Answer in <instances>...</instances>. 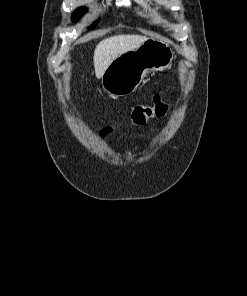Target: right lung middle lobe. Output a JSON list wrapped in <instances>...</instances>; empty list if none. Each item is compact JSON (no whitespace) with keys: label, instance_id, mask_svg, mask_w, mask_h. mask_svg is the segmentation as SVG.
Masks as SVG:
<instances>
[{"label":"right lung middle lobe","instance_id":"obj_1","mask_svg":"<svg viewBox=\"0 0 247 296\" xmlns=\"http://www.w3.org/2000/svg\"><path fill=\"white\" fill-rule=\"evenodd\" d=\"M86 12L85 8H80L78 9L74 14H73V20L79 19L84 13Z\"/></svg>","mask_w":247,"mask_h":296}]
</instances>
